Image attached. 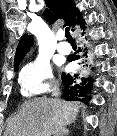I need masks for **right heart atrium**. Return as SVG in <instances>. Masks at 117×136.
<instances>
[{"instance_id":"obj_1","label":"right heart atrium","mask_w":117,"mask_h":136,"mask_svg":"<svg viewBox=\"0 0 117 136\" xmlns=\"http://www.w3.org/2000/svg\"><path fill=\"white\" fill-rule=\"evenodd\" d=\"M19 84L21 93L27 98H36L57 90L49 63L42 59L27 63L20 71Z\"/></svg>"}]
</instances>
